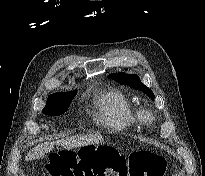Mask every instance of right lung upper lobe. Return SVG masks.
<instances>
[{"instance_id":"1","label":"right lung upper lobe","mask_w":205,"mask_h":176,"mask_svg":"<svg viewBox=\"0 0 205 176\" xmlns=\"http://www.w3.org/2000/svg\"><path fill=\"white\" fill-rule=\"evenodd\" d=\"M55 94H59V93H54V94H52V95H55ZM52 95H50V96H52Z\"/></svg>"}]
</instances>
